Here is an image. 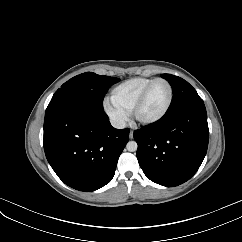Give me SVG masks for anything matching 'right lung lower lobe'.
<instances>
[{
	"mask_svg": "<svg viewBox=\"0 0 242 242\" xmlns=\"http://www.w3.org/2000/svg\"><path fill=\"white\" fill-rule=\"evenodd\" d=\"M129 140V129L111 126L104 110L68 106L45 114L46 158L68 186L94 191L109 183Z\"/></svg>",
	"mask_w": 242,
	"mask_h": 242,
	"instance_id": "98d812e1",
	"label": "right lung lower lobe"
}]
</instances>
